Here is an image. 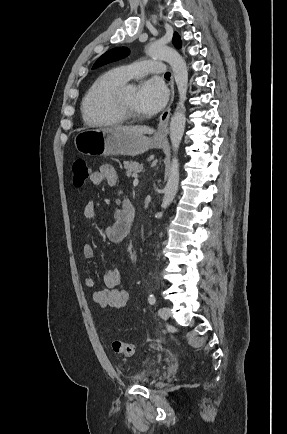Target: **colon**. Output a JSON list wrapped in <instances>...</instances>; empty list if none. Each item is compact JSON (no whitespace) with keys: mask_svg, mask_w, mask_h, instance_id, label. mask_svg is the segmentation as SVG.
I'll list each match as a JSON object with an SVG mask.
<instances>
[{"mask_svg":"<svg viewBox=\"0 0 287 434\" xmlns=\"http://www.w3.org/2000/svg\"><path fill=\"white\" fill-rule=\"evenodd\" d=\"M73 172V185L75 187H82L89 177V168L87 163L82 159H77L72 165ZM115 353L132 357L135 354V346L129 343H125L120 340H114L111 344Z\"/></svg>","mask_w":287,"mask_h":434,"instance_id":"obj_1","label":"colon"}]
</instances>
